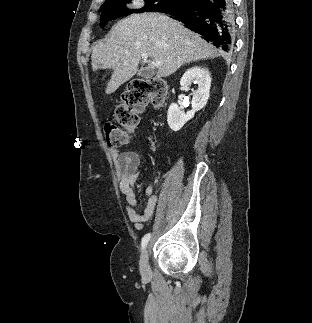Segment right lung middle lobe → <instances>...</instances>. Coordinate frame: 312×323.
<instances>
[{"label": "right lung middle lobe", "instance_id": "1", "mask_svg": "<svg viewBox=\"0 0 312 323\" xmlns=\"http://www.w3.org/2000/svg\"><path fill=\"white\" fill-rule=\"evenodd\" d=\"M127 0H114L110 3L103 4L101 7V23L103 26L112 19L118 18L120 16L129 13H140V12H150V11H160L173 7L180 3L182 0H145L146 4L143 8L138 10H128L124 6V2Z\"/></svg>", "mask_w": 312, "mask_h": 323}]
</instances>
